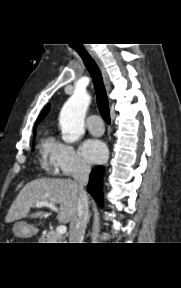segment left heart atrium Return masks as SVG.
Returning a JSON list of instances; mask_svg holds the SVG:
<instances>
[{
    "label": "left heart atrium",
    "instance_id": "39dd6f15",
    "mask_svg": "<svg viewBox=\"0 0 181 288\" xmlns=\"http://www.w3.org/2000/svg\"><path fill=\"white\" fill-rule=\"evenodd\" d=\"M82 155L90 162H102L107 155L105 144L98 139H87L81 145Z\"/></svg>",
    "mask_w": 181,
    "mask_h": 288
}]
</instances>
